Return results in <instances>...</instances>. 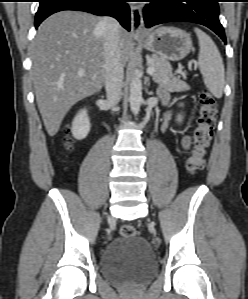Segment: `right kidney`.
<instances>
[{"mask_svg": "<svg viewBox=\"0 0 248 299\" xmlns=\"http://www.w3.org/2000/svg\"><path fill=\"white\" fill-rule=\"evenodd\" d=\"M91 128L90 120L87 115V110L82 109L74 118L73 124H72V135L77 140L84 139Z\"/></svg>", "mask_w": 248, "mask_h": 299, "instance_id": "obj_1", "label": "right kidney"}]
</instances>
